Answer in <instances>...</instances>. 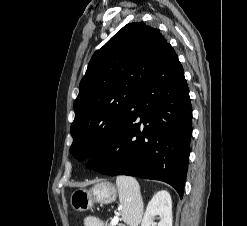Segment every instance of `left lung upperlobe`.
I'll list each match as a JSON object with an SVG mask.
<instances>
[{
    "label": "left lung upper lobe",
    "instance_id": "obj_1",
    "mask_svg": "<svg viewBox=\"0 0 247 226\" xmlns=\"http://www.w3.org/2000/svg\"><path fill=\"white\" fill-rule=\"evenodd\" d=\"M166 44L159 30L137 22L94 53L74 102L70 153L75 158L97 154L116 137Z\"/></svg>",
    "mask_w": 247,
    "mask_h": 226
}]
</instances>
